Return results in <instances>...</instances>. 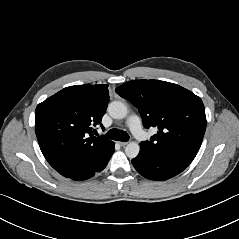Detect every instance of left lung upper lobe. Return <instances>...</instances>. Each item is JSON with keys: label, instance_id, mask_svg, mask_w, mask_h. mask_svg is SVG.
Returning <instances> with one entry per match:
<instances>
[{"label": "left lung upper lobe", "instance_id": "1", "mask_svg": "<svg viewBox=\"0 0 239 239\" xmlns=\"http://www.w3.org/2000/svg\"><path fill=\"white\" fill-rule=\"evenodd\" d=\"M115 91L139 110L144 126L157 127L150 141L140 143L146 153L187 167L195 158L206 130L202 100L191 91L159 80H134Z\"/></svg>", "mask_w": 239, "mask_h": 239}]
</instances>
